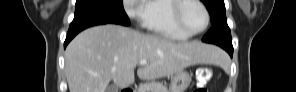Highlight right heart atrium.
<instances>
[{
    "label": "right heart atrium",
    "instance_id": "obj_1",
    "mask_svg": "<svg viewBox=\"0 0 296 92\" xmlns=\"http://www.w3.org/2000/svg\"><path fill=\"white\" fill-rule=\"evenodd\" d=\"M125 10L127 15L136 21H143L146 13V4L144 0H125Z\"/></svg>",
    "mask_w": 296,
    "mask_h": 92
}]
</instances>
